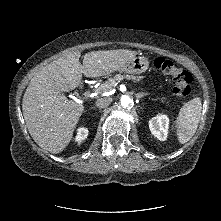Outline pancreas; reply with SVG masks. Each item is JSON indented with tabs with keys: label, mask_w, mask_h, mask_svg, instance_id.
Instances as JSON below:
<instances>
[{
	"label": "pancreas",
	"mask_w": 221,
	"mask_h": 221,
	"mask_svg": "<svg viewBox=\"0 0 221 221\" xmlns=\"http://www.w3.org/2000/svg\"><path fill=\"white\" fill-rule=\"evenodd\" d=\"M127 78V79H132L135 81L141 80L143 77L142 76H133V75H122V74H117L114 77L109 78L104 84L101 85V89L103 91H109L111 90L117 82L121 81L122 79Z\"/></svg>",
	"instance_id": "1"
}]
</instances>
